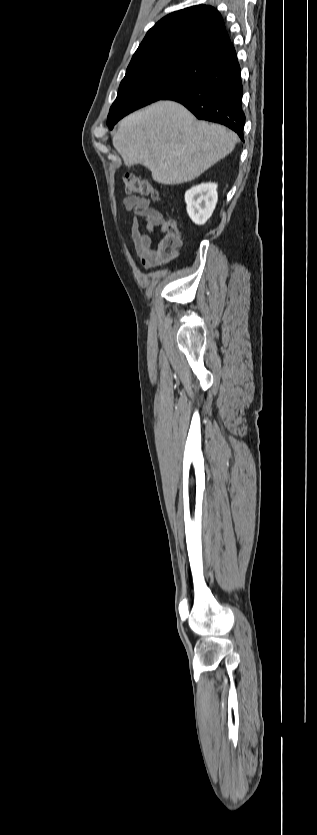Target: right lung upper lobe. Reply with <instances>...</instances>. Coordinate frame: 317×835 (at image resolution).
I'll list each match as a JSON object with an SVG mask.
<instances>
[{
  "label": "right lung upper lobe",
  "mask_w": 317,
  "mask_h": 835,
  "mask_svg": "<svg viewBox=\"0 0 317 835\" xmlns=\"http://www.w3.org/2000/svg\"><path fill=\"white\" fill-rule=\"evenodd\" d=\"M230 39L220 13L198 5L173 12L156 23L139 45L126 74L214 50Z\"/></svg>",
  "instance_id": "cb5924a9"
}]
</instances>
